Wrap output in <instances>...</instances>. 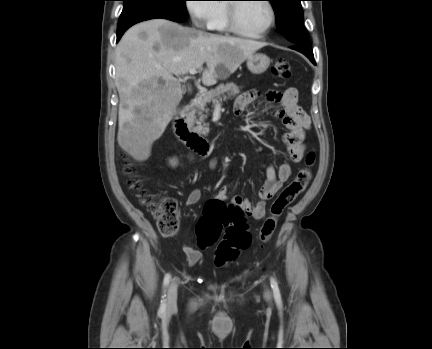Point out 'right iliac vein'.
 I'll use <instances>...</instances> for the list:
<instances>
[{
	"instance_id": "obj_1",
	"label": "right iliac vein",
	"mask_w": 432,
	"mask_h": 349,
	"mask_svg": "<svg viewBox=\"0 0 432 349\" xmlns=\"http://www.w3.org/2000/svg\"><path fill=\"white\" fill-rule=\"evenodd\" d=\"M177 304V283L172 281L167 291V309L172 310Z\"/></svg>"
}]
</instances>
